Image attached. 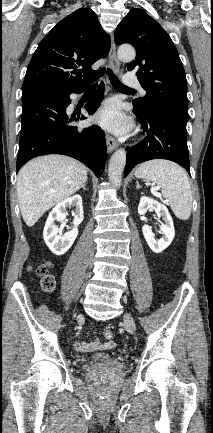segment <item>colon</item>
<instances>
[{
  "label": "colon",
  "instance_id": "5ec220e1",
  "mask_svg": "<svg viewBox=\"0 0 213 433\" xmlns=\"http://www.w3.org/2000/svg\"><path fill=\"white\" fill-rule=\"evenodd\" d=\"M49 269V264H41L34 269L36 276L40 278L41 288L44 292H51L55 287V280ZM103 336L107 341H112L114 334L111 330H105Z\"/></svg>",
  "mask_w": 213,
  "mask_h": 433
}]
</instances>
